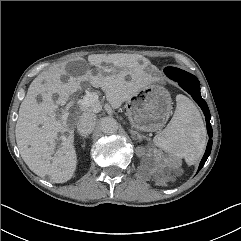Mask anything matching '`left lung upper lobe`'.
Returning <instances> with one entry per match:
<instances>
[{
	"label": "left lung upper lobe",
	"mask_w": 241,
	"mask_h": 241,
	"mask_svg": "<svg viewBox=\"0 0 241 241\" xmlns=\"http://www.w3.org/2000/svg\"><path fill=\"white\" fill-rule=\"evenodd\" d=\"M165 73L166 74H178V75H181V76H183L184 78H191L193 75L192 74H189V73H187V72H185V71H183V70H181V69H178V68H174V67H168V68H166V70H165Z\"/></svg>",
	"instance_id": "1"
}]
</instances>
